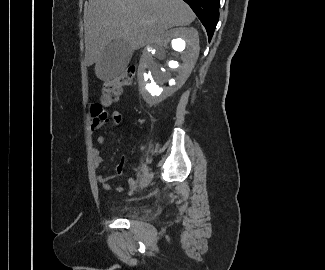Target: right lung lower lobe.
<instances>
[{"mask_svg":"<svg viewBox=\"0 0 325 270\" xmlns=\"http://www.w3.org/2000/svg\"><path fill=\"white\" fill-rule=\"evenodd\" d=\"M198 16L211 40L219 19L220 0H184Z\"/></svg>","mask_w":325,"mask_h":270,"instance_id":"1","label":"right lung lower lobe"}]
</instances>
